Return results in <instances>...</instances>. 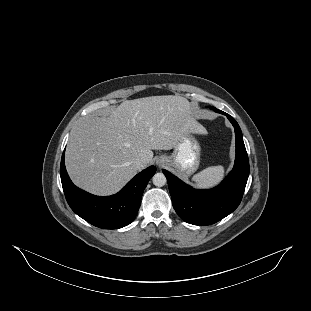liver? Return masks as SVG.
I'll use <instances>...</instances> for the list:
<instances>
[{
  "label": "liver",
  "instance_id": "1",
  "mask_svg": "<svg viewBox=\"0 0 311 311\" xmlns=\"http://www.w3.org/2000/svg\"><path fill=\"white\" fill-rule=\"evenodd\" d=\"M188 132L207 134L182 96L125 100L108 117H89L71 132L65 154L73 183L96 195L118 192L152 161V150H171ZM142 159L140 166L135 164Z\"/></svg>",
  "mask_w": 311,
  "mask_h": 311
}]
</instances>
